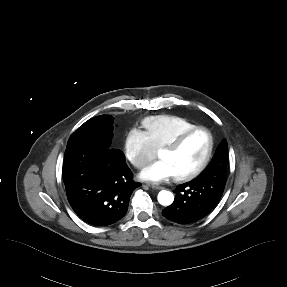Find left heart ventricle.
<instances>
[{
	"label": "left heart ventricle",
	"instance_id": "obj_1",
	"mask_svg": "<svg viewBox=\"0 0 287 287\" xmlns=\"http://www.w3.org/2000/svg\"><path fill=\"white\" fill-rule=\"evenodd\" d=\"M208 144L207 134L200 131L192 135L180 149L176 151L161 150L158 156L169 164L175 176H180L192 171L202 162Z\"/></svg>",
	"mask_w": 287,
	"mask_h": 287
}]
</instances>
